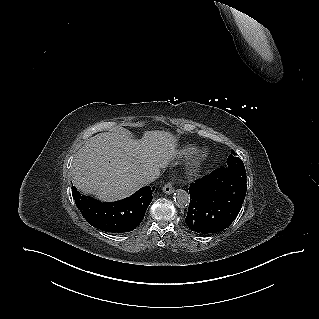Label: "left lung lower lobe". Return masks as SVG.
I'll return each instance as SVG.
<instances>
[{
    "instance_id": "1",
    "label": "left lung lower lobe",
    "mask_w": 319,
    "mask_h": 319,
    "mask_svg": "<svg viewBox=\"0 0 319 319\" xmlns=\"http://www.w3.org/2000/svg\"><path fill=\"white\" fill-rule=\"evenodd\" d=\"M245 168L221 167L192 183L186 217L188 227L210 234L226 229L237 217L245 199Z\"/></svg>"
}]
</instances>
